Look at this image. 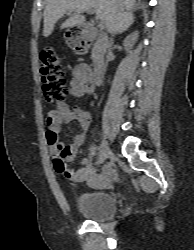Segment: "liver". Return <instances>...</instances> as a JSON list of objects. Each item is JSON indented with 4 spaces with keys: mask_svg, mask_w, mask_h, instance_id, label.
<instances>
[{
    "mask_svg": "<svg viewBox=\"0 0 194 250\" xmlns=\"http://www.w3.org/2000/svg\"><path fill=\"white\" fill-rule=\"evenodd\" d=\"M135 0H47L44 10L43 35L48 37L54 30L55 23L66 13L74 12L61 25V29L82 25L85 17L81 15L87 9H94L111 33H121L133 23L131 13Z\"/></svg>",
    "mask_w": 194,
    "mask_h": 250,
    "instance_id": "liver-1",
    "label": "liver"
}]
</instances>
